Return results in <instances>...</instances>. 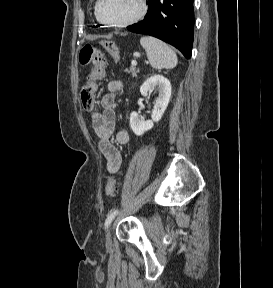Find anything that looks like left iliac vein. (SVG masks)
<instances>
[{
    "label": "left iliac vein",
    "mask_w": 273,
    "mask_h": 288,
    "mask_svg": "<svg viewBox=\"0 0 273 288\" xmlns=\"http://www.w3.org/2000/svg\"><path fill=\"white\" fill-rule=\"evenodd\" d=\"M105 243H106V247H111L112 245V240H111V226L108 228L107 232H106V238H105Z\"/></svg>",
    "instance_id": "1"
}]
</instances>
